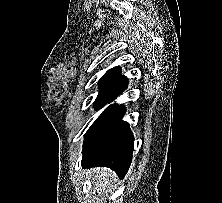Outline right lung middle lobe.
<instances>
[{
    "mask_svg": "<svg viewBox=\"0 0 222 203\" xmlns=\"http://www.w3.org/2000/svg\"><path fill=\"white\" fill-rule=\"evenodd\" d=\"M114 97L113 94L100 92L97 96V99L94 103V107L96 110L103 107L106 103H108Z\"/></svg>",
    "mask_w": 222,
    "mask_h": 203,
    "instance_id": "dd1d6c3e",
    "label": "right lung middle lobe"
}]
</instances>
